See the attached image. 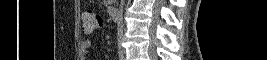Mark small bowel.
<instances>
[{
  "mask_svg": "<svg viewBox=\"0 0 267 60\" xmlns=\"http://www.w3.org/2000/svg\"><path fill=\"white\" fill-rule=\"evenodd\" d=\"M82 45H83L84 50H88L91 43H90V41H84Z\"/></svg>",
  "mask_w": 267,
  "mask_h": 60,
  "instance_id": "small-bowel-1",
  "label": "small bowel"
}]
</instances>
